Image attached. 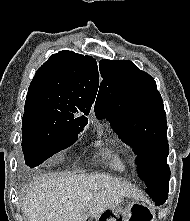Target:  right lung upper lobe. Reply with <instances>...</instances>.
I'll return each instance as SVG.
<instances>
[{
    "label": "right lung upper lobe",
    "mask_w": 190,
    "mask_h": 221,
    "mask_svg": "<svg viewBox=\"0 0 190 221\" xmlns=\"http://www.w3.org/2000/svg\"><path fill=\"white\" fill-rule=\"evenodd\" d=\"M99 86L97 62L73 51L53 54L37 70L29 86L24 111L87 115ZM79 118H86L84 115Z\"/></svg>",
    "instance_id": "right-lung-upper-lobe-1"
}]
</instances>
